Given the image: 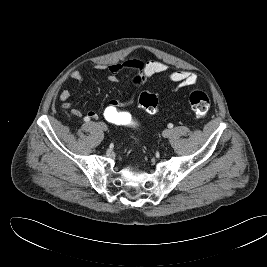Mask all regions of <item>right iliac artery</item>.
Segmentation results:
<instances>
[{"instance_id":"obj_1","label":"right iliac artery","mask_w":267,"mask_h":267,"mask_svg":"<svg viewBox=\"0 0 267 267\" xmlns=\"http://www.w3.org/2000/svg\"><path fill=\"white\" fill-rule=\"evenodd\" d=\"M84 120H85V121H89L90 119H88V118L85 117Z\"/></svg>"}]
</instances>
